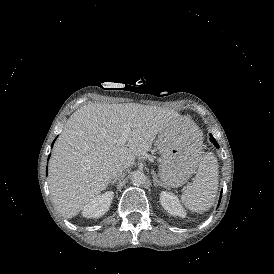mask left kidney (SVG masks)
<instances>
[{
  "instance_id": "left-kidney-1",
  "label": "left kidney",
  "mask_w": 274,
  "mask_h": 274,
  "mask_svg": "<svg viewBox=\"0 0 274 274\" xmlns=\"http://www.w3.org/2000/svg\"><path fill=\"white\" fill-rule=\"evenodd\" d=\"M160 203L162 207L172 216L185 218L187 215L186 210L180 204L178 197L171 192H161Z\"/></svg>"
}]
</instances>
